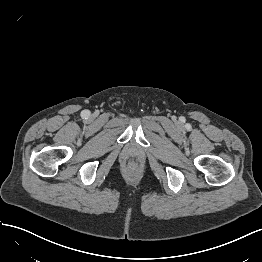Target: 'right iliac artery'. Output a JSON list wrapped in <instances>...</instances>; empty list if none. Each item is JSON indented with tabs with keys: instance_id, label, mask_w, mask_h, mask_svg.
I'll return each instance as SVG.
<instances>
[{
	"instance_id": "1",
	"label": "right iliac artery",
	"mask_w": 262,
	"mask_h": 262,
	"mask_svg": "<svg viewBox=\"0 0 262 262\" xmlns=\"http://www.w3.org/2000/svg\"><path fill=\"white\" fill-rule=\"evenodd\" d=\"M83 118H88L90 116V111L89 110H84L81 115Z\"/></svg>"
}]
</instances>
